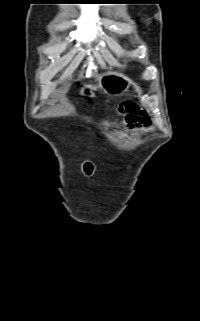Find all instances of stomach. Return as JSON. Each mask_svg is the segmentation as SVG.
<instances>
[{"label":"stomach","instance_id":"stomach-1","mask_svg":"<svg viewBox=\"0 0 200 321\" xmlns=\"http://www.w3.org/2000/svg\"><path fill=\"white\" fill-rule=\"evenodd\" d=\"M131 81L121 73H107L99 81L98 87L111 95L121 94L129 88ZM93 85H86L81 90V95L92 96L98 88Z\"/></svg>","mask_w":200,"mask_h":321}]
</instances>
